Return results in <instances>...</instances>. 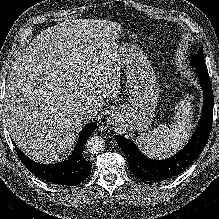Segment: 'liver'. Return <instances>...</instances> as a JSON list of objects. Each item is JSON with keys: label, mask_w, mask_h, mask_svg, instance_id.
Returning <instances> with one entry per match:
<instances>
[{"label": "liver", "mask_w": 219, "mask_h": 219, "mask_svg": "<svg viewBox=\"0 0 219 219\" xmlns=\"http://www.w3.org/2000/svg\"><path fill=\"white\" fill-rule=\"evenodd\" d=\"M121 25L72 19L42 31L11 65L4 97L17 146L43 162L70 149L83 121L80 109L100 111L116 98L120 67L115 53Z\"/></svg>", "instance_id": "liver-1"}]
</instances>
